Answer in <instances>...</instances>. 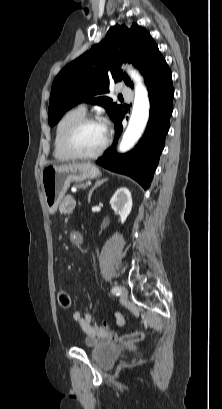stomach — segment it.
<instances>
[{
    "mask_svg": "<svg viewBox=\"0 0 222 409\" xmlns=\"http://www.w3.org/2000/svg\"><path fill=\"white\" fill-rule=\"evenodd\" d=\"M100 175L99 169L91 163H71L62 166H48L41 174L45 204L50 214L57 211L71 182H82Z\"/></svg>",
    "mask_w": 222,
    "mask_h": 409,
    "instance_id": "1",
    "label": "stomach"
}]
</instances>
